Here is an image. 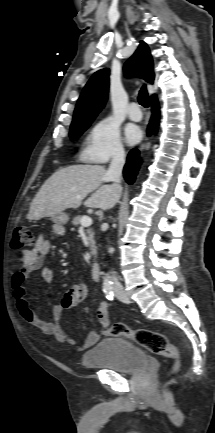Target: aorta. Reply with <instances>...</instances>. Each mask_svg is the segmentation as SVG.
Returning a JSON list of instances; mask_svg holds the SVG:
<instances>
[{"mask_svg": "<svg viewBox=\"0 0 215 433\" xmlns=\"http://www.w3.org/2000/svg\"><path fill=\"white\" fill-rule=\"evenodd\" d=\"M109 281H110V278H109L108 276H106V277L104 278V282H105L106 284H108Z\"/></svg>", "mask_w": 215, "mask_h": 433, "instance_id": "obj_1", "label": "aorta"}]
</instances>
